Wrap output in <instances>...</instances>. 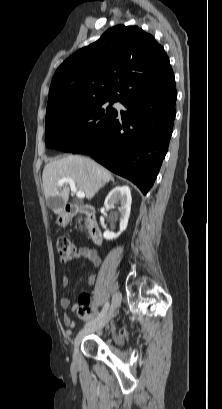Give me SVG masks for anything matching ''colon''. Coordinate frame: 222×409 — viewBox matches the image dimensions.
I'll return each mask as SVG.
<instances>
[{
	"label": "colon",
	"mask_w": 222,
	"mask_h": 409,
	"mask_svg": "<svg viewBox=\"0 0 222 409\" xmlns=\"http://www.w3.org/2000/svg\"><path fill=\"white\" fill-rule=\"evenodd\" d=\"M57 253L60 261H68L76 252V246L69 238L61 237L57 240ZM79 313L83 317L90 314L88 306H83L79 309Z\"/></svg>",
	"instance_id": "obj_1"
}]
</instances>
